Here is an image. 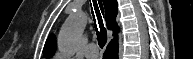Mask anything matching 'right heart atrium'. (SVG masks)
<instances>
[{
  "label": "right heart atrium",
  "mask_w": 193,
  "mask_h": 59,
  "mask_svg": "<svg viewBox=\"0 0 193 59\" xmlns=\"http://www.w3.org/2000/svg\"><path fill=\"white\" fill-rule=\"evenodd\" d=\"M57 57L58 59H68L67 56L64 54H58Z\"/></svg>",
  "instance_id": "obj_1"
}]
</instances>
